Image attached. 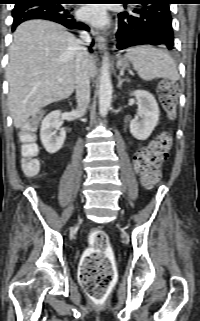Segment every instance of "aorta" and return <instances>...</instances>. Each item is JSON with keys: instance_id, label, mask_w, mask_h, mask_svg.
<instances>
[{"instance_id": "1", "label": "aorta", "mask_w": 200, "mask_h": 321, "mask_svg": "<svg viewBox=\"0 0 200 321\" xmlns=\"http://www.w3.org/2000/svg\"><path fill=\"white\" fill-rule=\"evenodd\" d=\"M109 69V55L106 52L103 56L99 85V112L102 117L107 115L112 101V83Z\"/></svg>"}]
</instances>
